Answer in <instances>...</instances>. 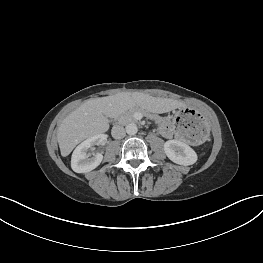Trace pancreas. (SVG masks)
<instances>
[{
  "label": "pancreas",
  "instance_id": "1",
  "mask_svg": "<svg viewBox=\"0 0 263 263\" xmlns=\"http://www.w3.org/2000/svg\"><path fill=\"white\" fill-rule=\"evenodd\" d=\"M137 111H141V110L137 109V108H134V109H131V110H128V111L124 112L123 114H121L118 117V122L121 123V124H125V123H128L130 121H133L134 120L133 115ZM149 117L152 118L153 120H155L156 122H158V119L155 116H149Z\"/></svg>",
  "mask_w": 263,
  "mask_h": 263
}]
</instances>
